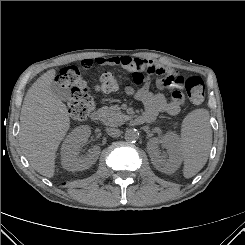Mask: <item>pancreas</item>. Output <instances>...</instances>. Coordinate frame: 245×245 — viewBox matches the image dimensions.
Segmentation results:
<instances>
[{"instance_id":"1","label":"pancreas","mask_w":245,"mask_h":245,"mask_svg":"<svg viewBox=\"0 0 245 245\" xmlns=\"http://www.w3.org/2000/svg\"><path fill=\"white\" fill-rule=\"evenodd\" d=\"M102 122L107 126H118L125 122L124 115L117 105L111 107H103L99 110Z\"/></svg>"}]
</instances>
